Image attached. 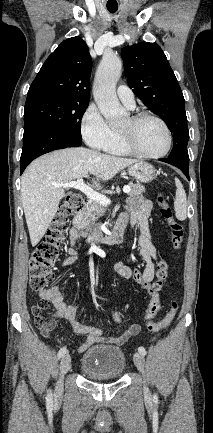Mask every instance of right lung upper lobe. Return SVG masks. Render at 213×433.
I'll return each instance as SVG.
<instances>
[{
    "instance_id": "cb5924a9",
    "label": "right lung upper lobe",
    "mask_w": 213,
    "mask_h": 433,
    "mask_svg": "<svg viewBox=\"0 0 213 433\" xmlns=\"http://www.w3.org/2000/svg\"><path fill=\"white\" fill-rule=\"evenodd\" d=\"M91 65L84 40L73 37L63 41L41 67L27 98L54 96L89 100Z\"/></svg>"
}]
</instances>
